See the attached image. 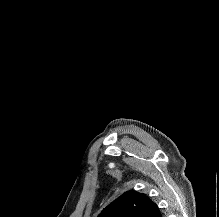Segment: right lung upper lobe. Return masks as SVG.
Returning a JSON list of instances; mask_svg holds the SVG:
<instances>
[{
  "mask_svg": "<svg viewBox=\"0 0 219 217\" xmlns=\"http://www.w3.org/2000/svg\"><path fill=\"white\" fill-rule=\"evenodd\" d=\"M98 217H162L144 193L128 191L109 204Z\"/></svg>",
  "mask_w": 219,
  "mask_h": 217,
  "instance_id": "obj_1",
  "label": "right lung upper lobe"
}]
</instances>
